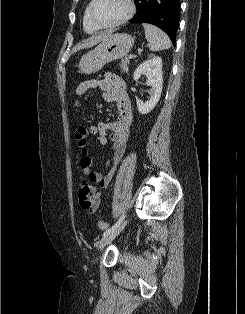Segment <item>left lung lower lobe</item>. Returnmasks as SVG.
<instances>
[{
	"label": "left lung lower lobe",
	"instance_id": "obj_1",
	"mask_svg": "<svg viewBox=\"0 0 245 314\" xmlns=\"http://www.w3.org/2000/svg\"><path fill=\"white\" fill-rule=\"evenodd\" d=\"M180 0H139L132 23H149L164 30L175 45L179 26Z\"/></svg>",
	"mask_w": 245,
	"mask_h": 314
}]
</instances>
